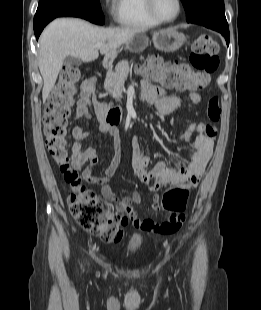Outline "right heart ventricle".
I'll list each match as a JSON object with an SVG mask.
<instances>
[{"mask_svg": "<svg viewBox=\"0 0 261 310\" xmlns=\"http://www.w3.org/2000/svg\"><path fill=\"white\" fill-rule=\"evenodd\" d=\"M115 21L124 27L133 29H151L160 23L148 13L145 0H114Z\"/></svg>", "mask_w": 261, "mask_h": 310, "instance_id": "right-heart-ventricle-1", "label": "right heart ventricle"}]
</instances>
